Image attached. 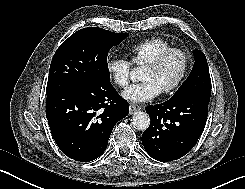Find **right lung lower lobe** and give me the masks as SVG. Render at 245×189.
<instances>
[{"instance_id":"1","label":"right lung lower lobe","mask_w":245,"mask_h":189,"mask_svg":"<svg viewBox=\"0 0 245 189\" xmlns=\"http://www.w3.org/2000/svg\"><path fill=\"white\" fill-rule=\"evenodd\" d=\"M128 112V103L109 79L46 99V116L55 142L66 156L80 162L104 153L113 127Z\"/></svg>"}]
</instances>
